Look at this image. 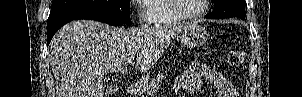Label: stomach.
<instances>
[{"label":"stomach","mask_w":302,"mask_h":97,"mask_svg":"<svg viewBox=\"0 0 302 97\" xmlns=\"http://www.w3.org/2000/svg\"><path fill=\"white\" fill-rule=\"evenodd\" d=\"M208 34L204 27L199 24H188L180 33L181 43L186 47H200L207 40ZM146 81L150 79L149 76L144 78Z\"/></svg>","instance_id":"stomach-1"}]
</instances>
